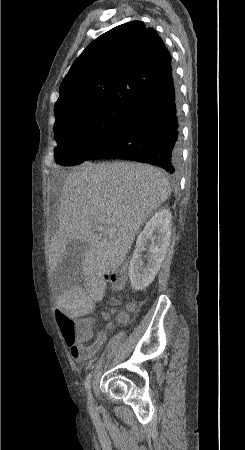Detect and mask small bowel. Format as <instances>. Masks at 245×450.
<instances>
[{
  "label": "small bowel",
  "mask_w": 245,
  "mask_h": 450,
  "mask_svg": "<svg viewBox=\"0 0 245 450\" xmlns=\"http://www.w3.org/2000/svg\"><path fill=\"white\" fill-rule=\"evenodd\" d=\"M58 310L67 313L72 317H76L77 319L87 321L92 323L94 321L93 317H81L70 309V304L68 298L63 299L59 305ZM88 340L85 341H73V343H67L69 346L70 354L77 361H86L91 359L95 353L104 345L106 342V333L105 331H99L96 335L94 341L92 343H87Z\"/></svg>",
  "instance_id": "small-bowel-1"
}]
</instances>
